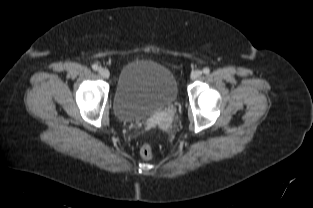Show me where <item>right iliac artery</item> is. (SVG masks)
Listing matches in <instances>:
<instances>
[{"label": "right iliac artery", "mask_w": 313, "mask_h": 208, "mask_svg": "<svg viewBox=\"0 0 313 208\" xmlns=\"http://www.w3.org/2000/svg\"><path fill=\"white\" fill-rule=\"evenodd\" d=\"M92 69L95 70V71H97V70L99 69V67H98L97 64H93V65H92Z\"/></svg>", "instance_id": "obj_1"}]
</instances>
